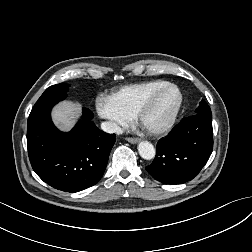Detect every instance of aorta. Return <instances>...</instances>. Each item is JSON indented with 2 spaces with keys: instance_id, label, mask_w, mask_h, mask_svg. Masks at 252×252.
<instances>
[{
  "instance_id": "1",
  "label": "aorta",
  "mask_w": 252,
  "mask_h": 252,
  "mask_svg": "<svg viewBox=\"0 0 252 252\" xmlns=\"http://www.w3.org/2000/svg\"><path fill=\"white\" fill-rule=\"evenodd\" d=\"M138 152L139 155L145 160L153 159L156 153L154 146L148 141H141L138 144Z\"/></svg>"
}]
</instances>
